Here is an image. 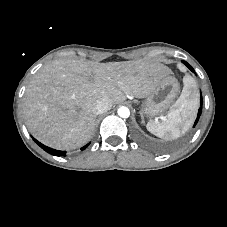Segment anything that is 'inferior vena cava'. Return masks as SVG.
<instances>
[{"instance_id":"obj_1","label":"inferior vena cava","mask_w":227,"mask_h":227,"mask_svg":"<svg viewBox=\"0 0 227 227\" xmlns=\"http://www.w3.org/2000/svg\"><path fill=\"white\" fill-rule=\"evenodd\" d=\"M112 107V101L108 97H102L95 102L94 114L99 115L107 112Z\"/></svg>"}]
</instances>
